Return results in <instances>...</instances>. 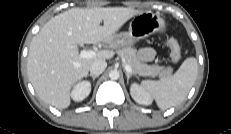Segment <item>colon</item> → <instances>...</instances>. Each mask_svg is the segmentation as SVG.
<instances>
[{
  "instance_id": "1",
  "label": "colon",
  "mask_w": 231,
  "mask_h": 134,
  "mask_svg": "<svg viewBox=\"0 0 231 134\" xmlns=\"http://www.w3.org/2000/svg\"><path fill=\"white\" fill-rule=\"evenodd\" d=\"M165 45L170 49V56L173 62L177 63L181 58V48L175 39H167Z\"/></svg>"
}]
</instances>
